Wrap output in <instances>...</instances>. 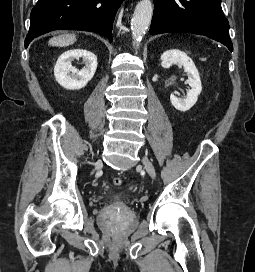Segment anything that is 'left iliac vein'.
<instances>
[{
  "mask_svg": "<svg viewBox=\"0 0 255 272\" xmlns=\"http://www.w3.org/2000/svg\"><path fill=\"white\" fill-rule=\"evenodd\" d=\"M142 163H143L146 171L148 172V174L152 178H155L156 174H155L154 166L152 165V163L150 162V160L146 156L143 157Z\"/></svg>",
  "mask_w": 255,
  "mask_h": 272,
  "instance_id": "1",
  "label": "left iliac vein"
}]
</instances>
